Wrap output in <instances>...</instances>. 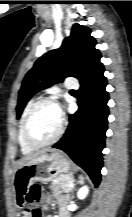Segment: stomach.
Returning <instances> with one entry per match:
<instances>
[{
  "label": "stomach",
  "mask_w": 132,
  "mask_h": 217,
  "mask_svg": "<svg viewBox=\"0 0 132 217\" xmlns=\"http://www.w3.org/2000/svg\"><path fill=\"white\" fill-rule=\"evenodd\" d=\"M71 170V160L65 153H45L19 166L14 172L13 182L16 188L29 187L33 182L50 181L59 174L70 173Z\"/></svg>",
  "instance_id": "obj_1"
}]
</instances>
